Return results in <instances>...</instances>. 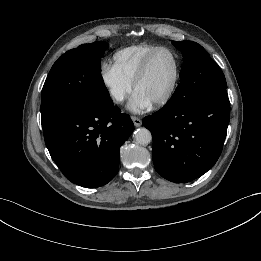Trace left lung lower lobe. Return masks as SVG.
<instances>
[{
    "label": "left lung lower lobe",
    "instance_id": "left-lung-lower-lobe-1",
    "mask_svg": "<svg viewBox=\"0 0 261 261\" xmlns=\"http://www.w3.org/2000/svg\"><path fill=\"white\" fill-rule=\"evenodd\" d=\"M229 119L226 89L198 96L182 106L166 103L143 118L153 137L155 170L177 183L202 176L221 154Z\"/></svg>",
    "mask_w": 261,
    "mask_h": 261
}]
</instances>
